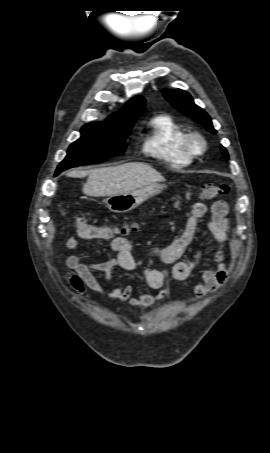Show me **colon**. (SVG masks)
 I'll use <instances>...</instances> for the list:
<instances>
[{
  "instance_id": "obj_1",
  "label": "colon",
  "mask_w": 270,
  "mask_h": 453,
  "mask_svg": "<svg viewBox=\"0 0 270 453\" xmlns=\"http://www.w3.org/2000/svg\"><path fill=\"white\" fill-rule=\"evenodd\" d=\"M228 192V186L224 183H209L201 187V196L204 199H215L223 196ZM77 233L82 238L92 236H102L109 238L116 233H128L133 230L134 225L125 222L121 226H97L88 224L83 218H77L75 221Z\"/></svg>"
}]
</instances>
